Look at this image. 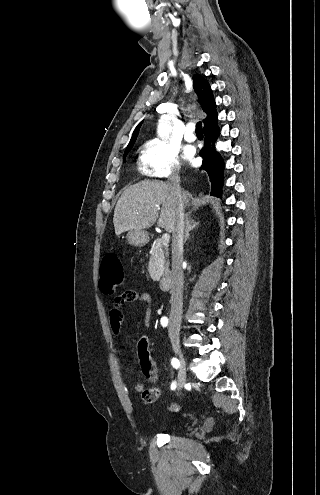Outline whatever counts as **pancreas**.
Listing matches in <instances>:
<instances>
[{"label":"pancreas","instance_id":"pancreas-1","mask_svg":"<svg viewBox=\"0 0 320 495\" xmlns=\"http://www.w3.org/2000/svg\"><path fill=\"white\" fill-rule=\"evenodd\" d=\"M167 257V245H164L161 239L155 241L152 244L148 265V271L153 281H159L162 275L168 271L169 262Z\"/></svg>","mask_w":320,"mask_h":495}]
</instances>
